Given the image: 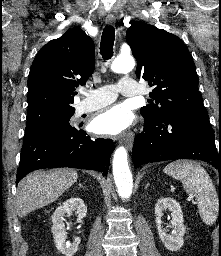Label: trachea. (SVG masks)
<instances>
[{
  "mask_svg": "<svg viewBox=\"0 0 221 256\" xmlns=\"http://www.w3.org/2000/svg\"><path fill=\"white\" fill-rule=\"evenodd\" d=\"M114 39L115 29L112 26H106L103 30L100 43V54L104 60H108L113 56Z\"/></svg>",
  "mask_w": 221,
  "mask_h": 256,
  "instance_id": "trachea-1",
  "label": "trachea"
}]
</instances>
